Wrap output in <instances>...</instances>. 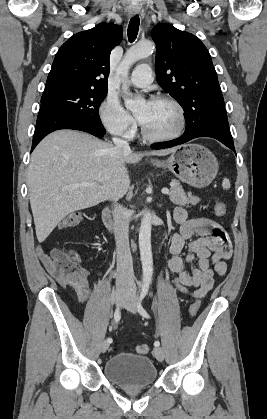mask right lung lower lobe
<instances>
[{"mask_svg":"<svg viewBox=\"0 0 267 419\" xmlns=\"http://www.w3.org/2000/svg\"><path fill=\"white\" fill-rule=\"evenodd\" d=\"M60 129H74L90 133L96 137H103L106 133L102 123L96 124L83 121L58 108L48 105H41L36 129L33 136L32 149L49 133Z\"/></svg>","mask_w":267,"mask_h":419,"instance_id":"1","label":"right lung lower lobe"}]
</instances>
